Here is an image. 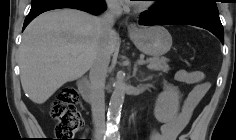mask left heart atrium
I'll return each instance as SVG.
<instances>
[{"instance_id":"39dd6f15","label":"left heart atrium","mask_w":236,"mask_h":140,"mask_svg":"<svg viewBox=\"0 0 236 140\" xmlns=\"http://www.w3.org/2000/svg\"><path fill=\"white\" fill-rule=\"evenodd\" d=\"M126 2H136V1H127V0H126Z\"/></svg>"}]
</instances>
